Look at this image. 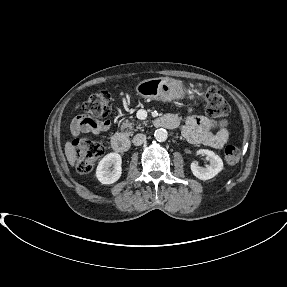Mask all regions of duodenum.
<instances>
[{
    "label": "duodenum",
    "instance_id": "1",
    "mask_svg": "<svg viewBox=\"0 0 287 287\" xmlns=\"http://www.w3.org/2000/svg\"><path fill=\"white\" fill-rule=\"evenodd\" d=\"M156 123L159 126L167 129H172L176 126L175 121L168 116L157 118ZM111 147L115 152H126L130 148L129 139L121 133H116L111 137Z\"/></svg>",
    "mask_w": 287,
    "mask_h": 287
}]
</instances>
